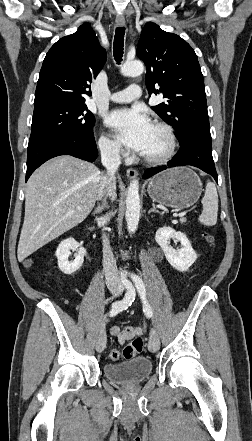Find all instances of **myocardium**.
Masks as SVG:
<instances>
[{"label":"myocardium","instance_id":"f54148a6","mask_svg":"<svg viewBox=\"0 0 252 441\" xmlns=\"http://www.w3.org/2000/svg\"><path fill=\"white\" fill-rule=\"evenodd\" d=\"M153 126L163 131L168 141V148L160 156L142 155V158L150 165H161L168 162L174 156L177 148V139L173 128L169 124L162 121H156Z\"/></svg>","mask_w":252,"mask_h":441}]
</instances>
